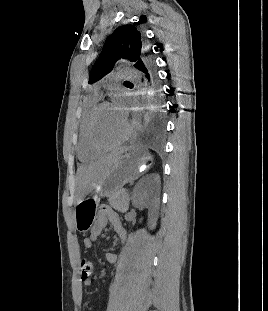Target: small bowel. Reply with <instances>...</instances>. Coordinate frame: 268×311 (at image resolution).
<instances>
[{"label":"small bowel","instance_id":"c3829d8e","mask_svg":"<svg viewBox=\"0 0 268 311\" xmlns=\"http://www.w3.org/2000/svg\"><path fill=\"white\" fill-rule=\"evenodd\" d=\"M108 223H110L114 228L119 240L122 243H125L127 233L122 226L118 215L109 208H103L90 232V235L84 239V245L86 248H91L93 246V244L99 239L102 230ZM105 256L110 263H116L118 260V256L111 252H107ZM82 281L86 286H90L92 283V279L90 277L82 278Z\"/></svg>","mask_w":268,"mask_h":311}]
</instances>
